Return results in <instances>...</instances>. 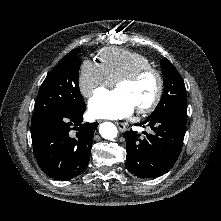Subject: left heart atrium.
Here are the masks:
<instances>
[{"label":"left heart atrium","instance_id":"left-heart-atrium-1","mask_svg":"<svg viewBox=\"0 0 221 221\" xmlns=\"http://www.w3.org/2000/svg\"><path fill=\"white\" fill-rule=\"evenodd\" d=\"M88 109L94 118L119 119L131 115L135 106L121 90L97 92L88 103Z\"/></svg>","mask_w":221,"mask_h":221}]
</instances>
